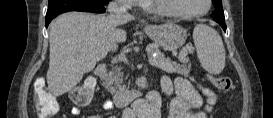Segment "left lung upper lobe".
<instances>
[{"label":"left lung upper lobe","mask_w":273,"mask_h":118,"mask_svg":"<svg viewBox=\"0 0 273 118\" xmlns=\"http://www.w3.org/2000/svg\"><path fill=\"white\" fill-rule=\"evenodd\" d=\"M216 10L212 13L211 17L218 22L219 24L225 23L224 19V11L222 9V1L221 0H212Z\"/></svg>","instance_id":"1"}]
</instances>
